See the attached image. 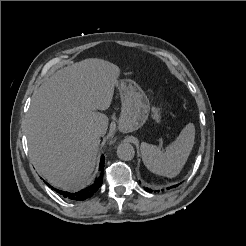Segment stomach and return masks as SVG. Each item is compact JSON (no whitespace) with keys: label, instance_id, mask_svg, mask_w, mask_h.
Returning <instances> with one entry per match:
<instances>
[{"label":"stomach","instance_id":"0dacf381","mask_svg":"<svg viewBox=\"0 0 246 246\" xmlns=\"http://www.w3.org/2000/svg\"><path fill=\"white\" fill-rule=\"evenodd\" d=\"M116 86L122 102L120 129L125 132L138 130L148 119L149 99L140 86L132 80L118 81Z\"/></svg>","mask_w":246,"mask_h":246}]
</instances>
